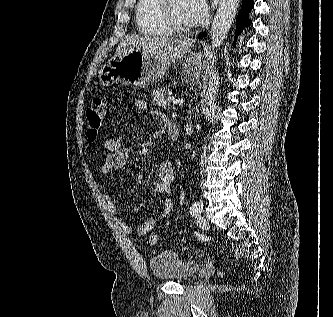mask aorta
Masks as SVG:
<instances>
[{
  "label": "aorta",
  "instance_id": "obj_1",
  "mask_svg": "<svg viewBox=\"0 0 333 317\" xmlns=\"http://www.w3.org/2000/svg\"><path fill=\"white\" fill-rule=\"evenodd\" d=\"M240 0H220L219 8L213 19L210 38L213 48L221 46L236 16ZM220 78L216 68H212L209 77L208 88L205 94L207 105H211L217 95Z\"/></svg>",
  "mask_w": 333,
  "mask_h": 317
}]
</instances>
